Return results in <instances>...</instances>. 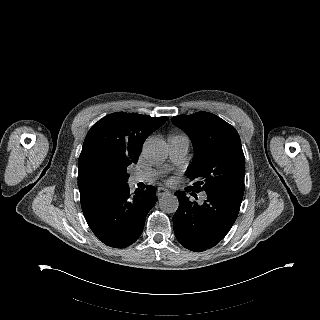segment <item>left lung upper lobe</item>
<instances>
[{
    "instance_id": "5c2ea615",
    "label": "left lung upper lobe",
    "mask_w": 320,
    "mask_h": 320,
    "mask_svg": "<svg viewBox=\"0 0 320 320\" xmlns=\"http://www.w3.org/2000/svg\"><path fill=\"white\" fill-rule=\"evenodd\" d=\"M191 139L194 158L186 174L194 192L244 194L245 158L240 137L230 124L216 115L199 112L172 118Z\"/></svg>"
}]
</instances>
